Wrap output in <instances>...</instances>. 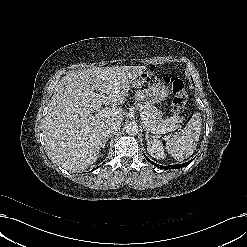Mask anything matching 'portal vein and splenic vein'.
<instances>
[{
    "label": "portal vein and splenic vein",
    "mask_w": 247,
    "mask_h": 247,
    "mask_svg": "<svg viewBox=\"0 0 247 247\" xmlns=\"http://www.w3.org/2000/svg\"><path fill=\"white\" fill-rule=\"evenodd\" d=\"M109 114H110V110H106V109H101L99 111V113H98L99 116H107ZM141 117H142V120L144 121L145 125L148 126V118L145 115H143V114L141 115ZM178 127L179 126H173L171 128H165V129L160 130V133L161 134H165L168 131H174V130H176Z\"/></svg>",
    "instance_id": "obj_1"
}]
</instances>
